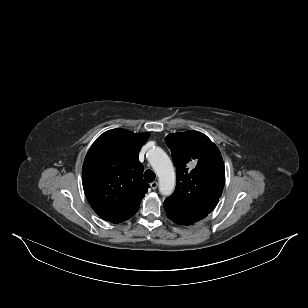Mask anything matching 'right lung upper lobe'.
<instances>
[{
    "label": "right lung upper lobe",
    "instance_id": "1",
    "mask_svg": "<svg viewBox=\"0 0 308 308\" xmlns=\"http://www.w3.org/2000/svg\"><path fill=\"white\" fill-rule=\"evenodd\" d=\"M147 133L113 129L99 136L89 149L82 169L85 195L104 220L121 223L139 209L149 184L143 178L138 153Z\"/></svg>",
    "mask_w": 308,
    "mask_h": 308
}]
</instances>
